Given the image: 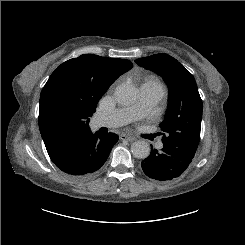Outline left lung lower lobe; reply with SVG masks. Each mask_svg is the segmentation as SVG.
I'll use <instances>...</instances> for the list:
<instances>
[{"label":"left lung lower lobe","instance_id":"left-lung-lower-lobe-1","mask_svg":"<svg viewBox=\"0 0 245 245\" xmlns=\"http://www.w3.org/2000/svg\"><path fill=\"white\" fill-rule=\"evenodd\" d=\"M193 157L177 147L164 144L161 152L151 148L149 157L142 161L144 173L158 181L179 177L189 166Z\"/></svg>","mask_w":245,"mask_h":245}]
</instances>
